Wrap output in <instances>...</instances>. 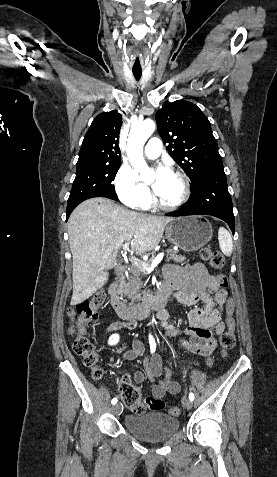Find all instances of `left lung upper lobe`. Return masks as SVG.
Listing matches in <instances>:
<instances>
[{
	"label": "left lung upper lobe",
	"instance_id": "obj_1",
	"mask_svg": "<svg viewBox=\"0 0 277 477\" xmlns=\"http://www.w3.org/2000/svg\"><path fill=\"white\" fill-rule=\"evenodd\" d=\"M155 119L169 154L192 185L206 169L222 165L210 122L195 104L185 100L166 102Z\"/></svg>",
	"mask_w": 277,
	"mask_h": 477
}]
</instances>
